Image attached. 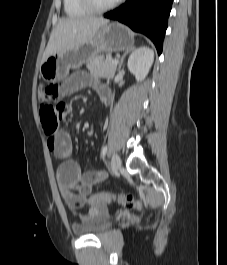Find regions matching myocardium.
<instances>
[{"instance_id":"f54148a6","label":"myocardium","mask_w":227,"mask_h":265,"mask_svg":"<svg viewBox=\"0 0 227 265\" xmlns=\"http://www.w3.org/2000/svg\"><path fill=\"white\" fill-rule=\"evenodd\" d=\"M84 8H86L91 13H104L115 8L122 0H114L108 5L98 6L93 0H79Z\"/></svg>"}]
</instances>
